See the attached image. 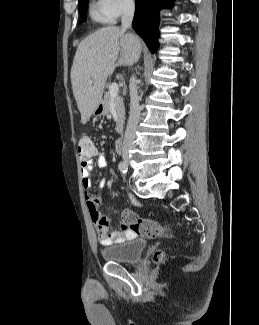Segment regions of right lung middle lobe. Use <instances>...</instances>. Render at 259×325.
I'll return each mask as SVG.
<instances>
[{"instance_id": "obj_1", "label": "right lung middle lobe", "mask_w": 259, "mask_h": 325, "mask_svg": "<svg viewBox=\"0 0 259 325\" xmlns=\"http://www.w3.org/2000/svg\"><path fill=\"white\" fill-rule=\"evenodd\" d=\"M89 0H79L81 19L86 20V4Z\"/></svg>"}]
</instances>
